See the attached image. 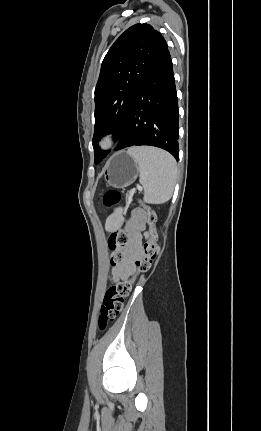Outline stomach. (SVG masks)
<instances>
[{
  "instance_id": "0dacf381",
  "label": "stomach",
  "mask_w": 261,
  "mask_h": 431,
  "mask_svg": "<svg viewBox=\"0 0 261 431\" xmlns=\"http://www.w3.org/2000/svg\"><path fill=\"white\" fill-rule=\"evenodd\" d=\"M139 173L135 160L125 152L113 155L104 170V179L109 186L123 188L131 185Z\"/></svg>"
}]
</instances>
